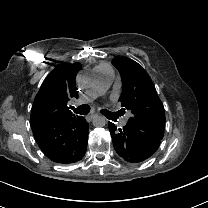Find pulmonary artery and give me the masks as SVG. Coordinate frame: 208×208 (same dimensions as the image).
Wrapping results in <instances>:
<instances>
[{"label":"pulmonary artery","instance_id":"e3ab8cb5","mask_svg":"<svg viewBox=\"0 0 208 208\" xmlns=\"http://www.w3.org/2000/svg\"><path fill=\"white\" fill-rule=\"evenodd\" d=\"M96 76L99 78L98 82L89 90L88 95H84L82 97H78L75 99L74 104L76 107L81 108L83 106H87L90 104V97L99 95L103 93L109 86L110 80L114 76V70L110 65H106L105 67L95 69ZM118 120L123 118L121 113L116 115ZM124 121H122L123 123Z\"/></svg>","mask_w":208,"mask_h":208}]
</instances>
